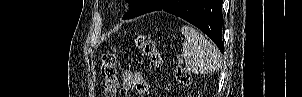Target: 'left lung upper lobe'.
I'll return each instance as SVG.
<instances>
[{
	"mask_svg": "<svg viewBox=\"0 0 302 97\" xmlns=\"http://www.w3.org/2000/svg\"><path fill=\"white\" fill-rule=\"evenodd\" d=\"M126 2L130 5V10L125 14L123 19H126L135 13L145 9L149 3H147V0H126Z\"/></svg>",
	"mask_w": 302,
	"mask_h": 97,
	"instance_id": "1",
	"label": "left lung upper lobe"
}]
</instances>
